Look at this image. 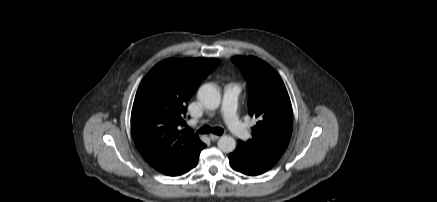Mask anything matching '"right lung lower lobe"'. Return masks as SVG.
<instances>
[{"mask_svg":"<svg viewBox=\"0 0 437 202\" xmlns=\"http://www.w3.org/2000/svg\"><path fill=\"white\" fill-rule=\"evenodd\" d=\"M206 147L205 144H202L201 148L193 154L186 162L176 168L173 172L167 174L169 176H179L194 168L197 165L198 158L202 149Z\"/></svg>","mask_w":437,"mask_h":202,"instance_id":"1","label":"right lung lower lobe"}]
</instances>
